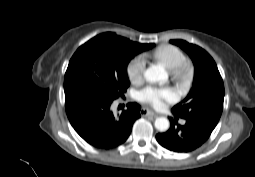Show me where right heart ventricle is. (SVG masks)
Here are the masks:
<instances>
[{
    "mask_svg": "<svg viewBox=\"0 0 255 177\" xmlns=\"http://www.w3.org/2000/svg\"><path fill=\"white\" fill-rule=\"evenodd\" d=\"M152 55L169 70H172L186 59L179 47L170 44L159 46L153 51Z\"/></svg>",
    "mask_w": 255,
    "mask_h": 177,
    "instance_id": "obj_1",
    "label": "right heart ventricle"
}]
</instances>
